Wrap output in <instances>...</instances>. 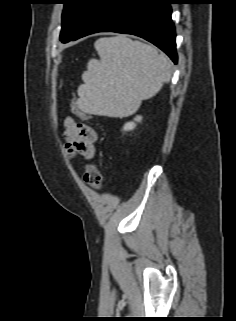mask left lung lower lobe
<instances>
[{
    "label": "left lung lower lobe",
    "instance_id": "0a47b994",
    "mask_svg": "<svg viewBox=\"0 0 236 321\" xmlns=\"http://www.w3.org/2000/svg\"><path fill=\"white\" fill-rule=\"evenodd\" d=\"M174 3L175 0H99L71 40L97 32L133 34L159 47L176 64L175 27L170 7Z\"/></svg>",
    "mask_w": 236,
    "mask_h": 321
}]
</instances>
